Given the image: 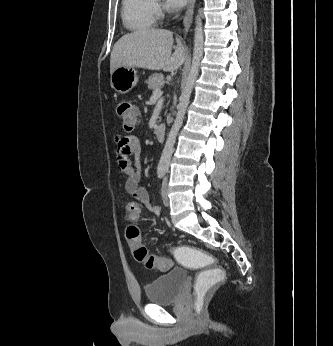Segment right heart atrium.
I'll return each mask as SVG.
<instances>
[{"mask_svg": "<svg viewBox=\"0 0 333 346\" xmlns=\"http://www.w3.org/2000/svg\"><path fill=\"white\" fill-rule=\"evenodd\" d=\"M153 11L156 16L162 12L161 5L156 0H153Z\"/></svg>", "mask_w": 333, "mask_h": 346, "instance_id": "1", "label": "right heart atrium"}]
</instances>
